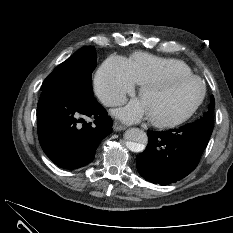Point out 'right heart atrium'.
I'll list each match as a JSON object with an SVG mask.
<instances>
[{
	"mask_svg": "<svg viewBox=\"0 0 233 233\" xmlns=\"http://www.w3.org/2000/svg\"><path fill=\"white\" fill-rule=\"evenodd\" d=\"M92 89L100 102L108 107L122 104L135 91L124 58L113 56L104 61L92 79Z\"/></svg>",
	"mask_w": 233,
	"mask_h": 233,
	"instance_id": "right-heart-atrium-1",
	"label": "right heart atrium"
}]
</instances>
